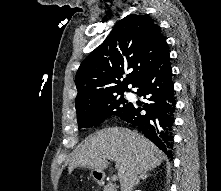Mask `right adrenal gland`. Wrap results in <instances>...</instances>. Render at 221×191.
<instances>
[{
  "instance_id": "right-adrenal-gland-1",
  "label": "right adrenal gland",
  "mask_w": 221,
  "mask_h": 191,
  "mask_svg": "<svg viewBox=\"0 0 221 191\" xmlns=\"http://www.w3.org/2000/svg\"><path fill=\"white\" fill-rule=\"evenodd\" d=\"M149 176H151V174L147 172L141 173L139 176L136 177L134 186H138L140 184V180H146Z\"/></svg>"
}]
</instances>
